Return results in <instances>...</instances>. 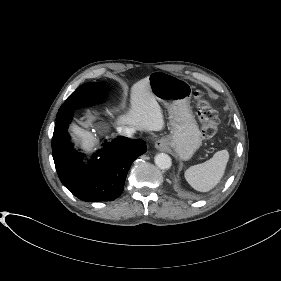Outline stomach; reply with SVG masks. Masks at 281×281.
Here are the masks:
<instances>
[{
    "label": "stomach",
    "instance_id": "1",
    "mask_svg": "<svg viewBox=\"0 0 281 281\" xmlns=\"http://www.w3.org/2000/svg\"><path fill=\"white\" fill-rule=\"evenodd\" d=\"M149 85L157 101L171 117V133L162 141L183 160H188L201 146V132L190 110L191 87L183 79L162 71L149 75Z\"/></svg>",
    "mask_w": 281,
    "mask_h": 281
}]
</instances>
